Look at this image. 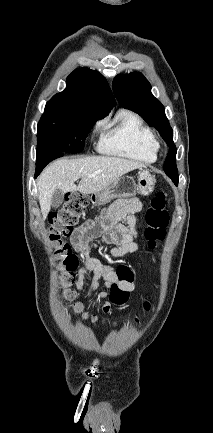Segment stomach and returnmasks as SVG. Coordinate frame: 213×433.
<instances>
[{"label":"stomach","mask_w":213,"mask_h":433,"mask_svg":"<svg viewBox=\"0 0 213 433\" xmlns=\"http://www.w3.org/2000/svg\"><path fill=\"white\" fill-rule=\"evenodd\" d=\"M155 182L154 176L143 170L137 180L132 176H123L102 191L92 193L90 200L94 205H105L115 198L127 199L137 194L147 196L153 192Z\"/></svg>","instance_id":"1"}]
</instances>
